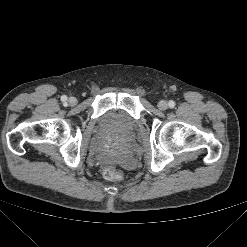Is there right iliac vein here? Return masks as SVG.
I'll return each mask as SVG.
<instances>
[{"mask_svg":"<svg viewBox=\"0 0 247 247\" xmlns=\"http://www.w3.org/2000/svg\"><path fill=\"white\" fill-rule=\"evenodd\" d=\"M68 103H69V105L74 106L77 104V99L75 97H70L68 99Z\"/></svg>","mask_w":247,"mask_h":247,"instance_id":"obj_1","label":"right iliac vein"}]
</instances>
